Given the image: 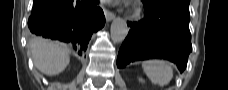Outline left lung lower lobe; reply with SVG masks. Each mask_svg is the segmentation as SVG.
I'll return each instance as SVG.
<instances>
[{"label":"left lung lower lobe","instance_id":"left-lung-lower-lobe-1","mask_svg":"<svg viewBox=\"0 0 228 90\" xmlns=\"http://www.w3.org/2000/svg\"><path fill=\"white\" fill-rule=\"evenodd\" d=\"M142 2L145 17L139 22H128L131 30L119 50L117 67L136 60L166 58L183 72L192 51L189 11L172 10L154 0Z\"/></svg>","mask_w":228,"mask_h":90}]
</instances>
